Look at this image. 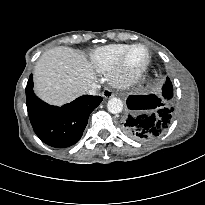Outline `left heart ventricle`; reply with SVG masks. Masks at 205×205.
I'll return each mask as SVG.
<instances>
[{"instance_id": "1", "label": "left heart ventricle", "mask_w": 205, "mask_h": 205, "mask_svg": "<svg viewBox=\"0 0 205 205\" xmlns=\"http://www.w3.org/2000/svg\"><path fill=\"white\" fill-rule=\"evenodd\" d=\"M146 60V51L141 47L133 49L128 57L127 64L130 69L139 68Z\"/></svg>"}]
</instances>
